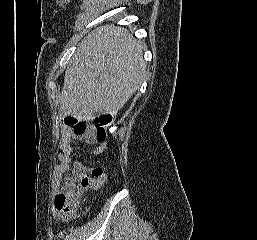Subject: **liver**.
I'll use <instances>...</instances> for the list:
<instances>
[{
    "instance_id": "obj_1",
    "label": "liver",
    "mask_w": 257,
    "mask_h": 240,
    "mask_svg": "<svg viewBox=\"0 0 257 240\" xmlns=\"http://www.w3.org/2000/svg\"><path fill=\"white\" fill-rule=\"evenodd\" d=\"M142 45L123 28L107 26L89 34L67 67L58 95L63 115L89 120L116 115L143 82Z\"/></svg>"
}]
</instances>
